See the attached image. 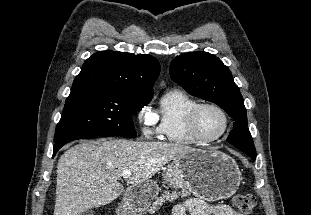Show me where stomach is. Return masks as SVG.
Returning a JSON list of instances; mask_svg holds the SVG:
<instances>
[{
  "label": "stomach",
  "mask_w": 311,
  "mask_h": 215,
  "mask_svg": "<svg viewBox=\"0 0 311 215\" xmlns=\"http://www.w3.org/2000/svg\"><path fill=\"white\" fill-rule=\"evenodd\" d=\"M163 178L169 187L182 189L206 201H217L235 194L241 173L229 155L213 149H194L169 164ZM158 193L159 187L152 180L129 188L117 214L143 215Z\"/></svg>",
  "instance_id": "0dacf381"
}]
</instances>
